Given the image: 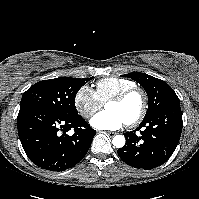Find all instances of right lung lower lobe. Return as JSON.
Returning a JSON list of instances; mask_svg holds the SVG:
<instances>
[{"mask_svg": "<svg viewBox=\"0 0 199 199\" xmlns=\"http://www.w3.org/2000/svg\"><path fill=\"white\" fill-rule=\"evenodd\" d=\"M17 128L28 158L52 171H64L76 165L96 134L80 115L64 117L39 108L20 110ZM71 129L74 134L68 135Z\"/></svg>", "mask_w": 199, "mask_h": 199, "instance_id": "right-lung-lower-lobe-1", "label": "right lung lower lobe"}]
</instances>
